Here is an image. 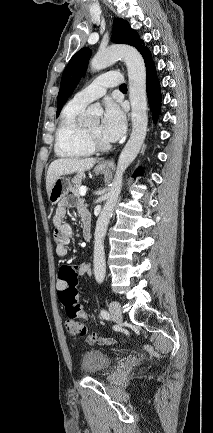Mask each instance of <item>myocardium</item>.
Here are the masks:
<instances>
[{"label":"myocardium","mask_w":213,"mask_h":433,"mask_svg":"<svg viewBox=\"0 0 213 433\" xmlns=\"http://www.w3.org/2000/svg\"><path fill=\"white\" fill-rule=\"evenodd\" d=\"M85 135L94 150L105 151L111 147L108 142L102 141L87 129H85Z\"/></svg>","instance_id":"f54148a6"}]
</instances>
